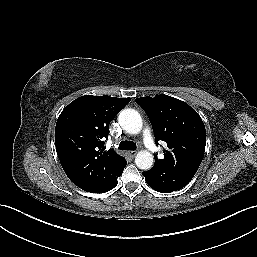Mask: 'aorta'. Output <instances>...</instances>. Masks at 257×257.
Returning <instances> with one entry per match:
<instances>
[{"label": "aorta", "mask_w": 257, "mask_h": 257, "mask_svg": "<svg viewBox=\"0 0 257 257\" xmlns=\"http://www.w3.org/2000/svg\"><path fill=\"white\" fill-rule=\"evenodd\" d=\"M118 120L121 127L130 134H137L142 129V118L138 111L134 109L122 110ZM153 162V155L146 150L138 152L135 157L136 166L142 170H149L152 167Z\"/></svg>", "instance_id": "aorta-1"}]
</instances>
